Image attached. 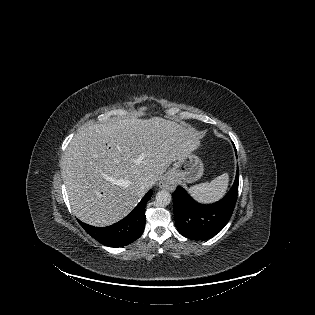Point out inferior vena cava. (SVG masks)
I'll return each instance as SVG.
<instances>
[{"label":"inferior vena cava","instance_id":"602c4592","mask_svg":"<svg viewBox=\"0 0 315 315\" xmlns=\"http://www.w3.org/2000/svg\"><path fill=\"white\" fill-rule=\"evenodd\" d=\"M149 187H150L149 182H142L140 185V190L142 192H146L148 191Z\"/></svg>","mask_w":315,"mask_h":315}]
</instances>
